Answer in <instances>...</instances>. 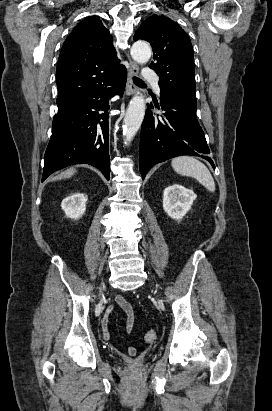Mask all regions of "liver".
Here are the masks:
<instances>
[{"label": "liver", "instance_id": "obj_1", "mask_svg": "<svg viewBox=\"0 0 272 411\" xmlns=\"http://www.w3.org/2000/svg\"><path fill=\"white\" fill-rule=\"evenodd\" d=\"M75 173H76V169L72 167V168H69L66 171L62 172L61 174H59L58 176H56L52 180L67 179V178L72 177Z\"/></svg>", "mask_w": 272, "mask_h": 411}]
</instances>
